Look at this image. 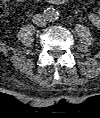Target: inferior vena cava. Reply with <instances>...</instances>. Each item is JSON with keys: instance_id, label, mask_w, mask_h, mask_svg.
Returning a JSON list of instances; mask_svg holds the SVG:
<instances>
[{"instance_id": "1", "label": "inferior vena cava", "mask_w": 100, "mask_h": 118, "mask_svg": "<svg viewBox=\"0 0 100 118\" xmlns=\"http://www.w3.org/2000/svg\"><path fill=\"white\" fill-rule=\"evenodd\" d=\"M32 22L39 27L45 26L47 23V19L44 14H35L33 16Z\"/></svg>"}]
</instances>
